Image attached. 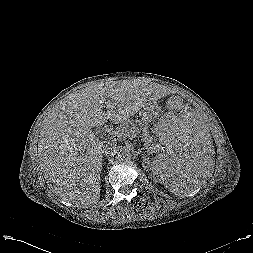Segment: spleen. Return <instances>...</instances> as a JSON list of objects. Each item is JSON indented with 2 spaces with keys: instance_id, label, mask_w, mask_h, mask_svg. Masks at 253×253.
Instances as JSON below:
<instances>
[{
  "instance_id": "3e777b00",
  "label": "spleen",
  "mask_w": 253,
  "mask_h": 253,
  "mask_svg": "<svg viewBox=\"0 0 253 253\" xmlns=\"http://www.w3.org/2000/svg\"><path fill=\"white\" fill-rule=\"evenodd\" d=\"M211 154V140L201 109L189 101L173 104L151 136L155 180L184 197L208 182Z\"/></svg>"
}]
</instances>
